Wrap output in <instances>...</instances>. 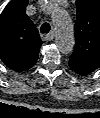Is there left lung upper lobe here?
Segmentation results:
<instances>
[{"label":"left lung upper lobe","instance_id":"5c2ea615","mask_svg":"<svg viewBox=\"0 0 100 118\" xmlns=\"http://www.w3.org/2000/svg\"><path fill=\"white\" fill-rule=\"evenodd\" d=\"M75 49L68 65L89 73L100 67V1L76 0Z\"/></svg>","mask_w":100,"mask_h":118}]
</instances>
